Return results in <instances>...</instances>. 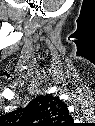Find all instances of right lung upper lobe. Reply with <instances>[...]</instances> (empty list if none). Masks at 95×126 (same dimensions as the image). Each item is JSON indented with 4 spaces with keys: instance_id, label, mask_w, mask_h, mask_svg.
Masks as SVG:
<instances>
[{
    "instance_id": "obj_1",
    "label": "right lung upper lobe",
    "mask_w": 95,
    "mask_h": 126,
    "mask_svg": "<svg viewBox=\"0 0 95 126\" xmlns=\"http://www.w3.org/2000/svg\"><path fill=\"white\" fill-rule=\"evenodd\" d=\"M7 118L13 124L27 126H69L73 121L66 104L48 94L37 96L26 107L9 113Z\"/></svg>"
}]
</instances>
